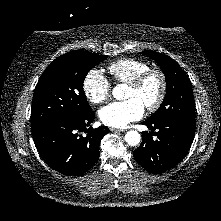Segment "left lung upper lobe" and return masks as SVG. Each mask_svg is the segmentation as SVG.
Here are the masks:
<instances>
[{"instance_id": "left-lung-upper-lobe-1", "label": "left lung upper lobe", "mask_w": 221, "mask_h": 221, "mask_svg": "<svg viewBox=\"0 0 221 221\" xmlns=\"http://www.w3.org/2000/svg\"><path fill=\"white\" fill-rule=\"evenodd\" d=\"M154 59L161 67L166 80V95L150 120L179 119L196 124L195 101L190 80L179 64L170 56L155 51L140 52Z\"/></svg>"}]
</instances>
